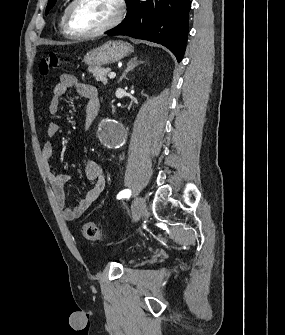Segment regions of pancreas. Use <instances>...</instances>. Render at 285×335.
Masks as SVG:
<instances>
[{
  "mask_svg": "<svg viewBox=\"0 0 285 335\" xmlns=\"http://www.w3.org/2000/svg\"><path fill=\"white\" fill-rule=\"evenodd\" d=\"M88 70L92 72L94 78H96L97 82H102L104 86L107 84V74L111 72V68H93V66H89Z\"/></svg>",
  "mask_w": 285,
  "mask_h": 335,
  "instance_id": "pancreas-1",
  "label": "pancreas"
}]
</instances>
